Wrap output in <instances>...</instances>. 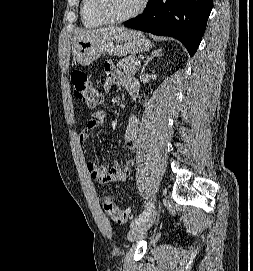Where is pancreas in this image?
<instances>
[{"label": "pancreas", "instance_id": "pancreas-1", "mask_svg": "<svg viewBox=\"0 0 253 271\" xmlns=\"http://www.w3.org/2000/svg\"><path fill=\"white\" fill-rule=\"evenodd\" d=\"M135 61H137L136 56L130 55L120 60L117 63V66L124 72L135 74L139 70L138 67L135 65Z\"/></svg>", "mask_w": 253, "mask_h": 271}]
</instances>
